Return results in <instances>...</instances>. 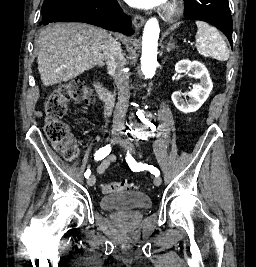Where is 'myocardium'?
Segmentation results:
<instances>
[{
	"mask_svg": "<svg viewBox=\"0 0 256 267\" xmlns=\"http://www.w3.org/2000/svg\"><path fill=\"white\" fill-rule=\"evenodd\" d=\"M178 9L175 6H171L167 12V15L165 16L164 20L166 22L172 21L173 17L177 14Z\"/></svg>",
	"mask_w": 256,
	"mask_h": 267,
	"instance_id": "myocardium-1",
	"label": "myocardium"
}]
</instances>
